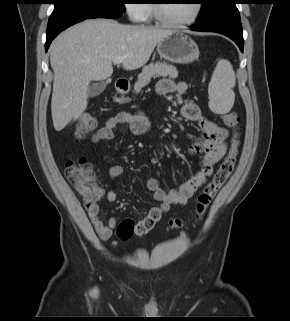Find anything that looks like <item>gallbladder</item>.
I'll return each mask as SVG.
<instances>
[{
	"mask_svg": "<svg viewBox=\"0 0 290 321\" xmlns=\"http://www.w3.org/2000/svg\"><path fill=\"white\" fill-rule=\"evenodd\" d=\"M106 86H107V83L104 81L92 84L88 89V96L89 97H96V96L100 95L104 91Z\"/></svg>",
	"mask_w": 290,
	"mask_h": 321,
	"instance_id": "1",
	"label": "gallbladder"
}]
</instances>
